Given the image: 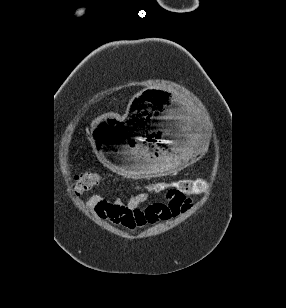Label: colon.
<instances>
[{
	"instance_id": "obj_1",
	"label": "colon",
	"mask_w": 286,
	"mask_h": 308,
	"mask_svg": "<svg viewBox=\"0 0 286 308\" xmlns=\"http://www.w3.org/2000/svg\"><path fill=\"white\" fill-rule=\"evenodd\" d=\"M102 181L99 173L88 171L74 177V189L78 193L90 191ZM208 183L203 179H182L173 182H157L152 184L155 192L177 190L190 193H201L206 191Z\"/></svg>"
}]
</instances>
